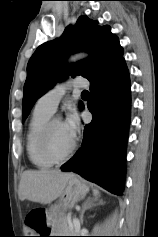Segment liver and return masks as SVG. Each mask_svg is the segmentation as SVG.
<instances>
[{
	"mask_svg": "<svg viewBox=\"0 0 158 237\" xmlns=\"http://www.w3.org/2000/svg\"><path fill=\"white\" fill-rule=\"evenodd\" d=\"M72 173L57 170H26L21 175L19 197L41 204H49L60 197Z\"/></svg>",
	"mask_w": 158,
	"mask_h": 237,
	"instance_id": "liver-1",
	"label": "liver"
}]
</instances>
